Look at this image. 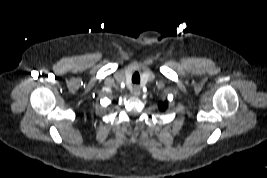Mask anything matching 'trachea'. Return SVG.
I'll return each instance as SVG.
<instances>
[{
	"mask_svg": "<svg viewBox=\"0 0 267 178\" xmlns=\"http://www.w3.org/2000/svg\"><path fill=\"white\" fill-rule=\"evenodd\" d=\"M132 82L138 84L140 82V76L138 73H135L132 77Z\"/></svg>",
	"mask_w": 267,
	"mask_h": 178,
	"instance_id": "obj_1",
	"label": "trachea"
}]
</instances>
